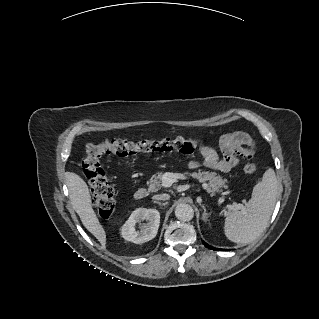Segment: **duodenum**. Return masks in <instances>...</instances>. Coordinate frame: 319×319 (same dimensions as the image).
Here are the masks:
<instances>
[{
	"mask_svg": "<svg viewBox=\"0 0 319 319\" xmlns=\"http://www.w3.org/2000/svg\"><path fill=\"white\" fill-rule=\"evenodd\" d=\"M148 195H149V192L144 187L138 188L134 193V197L136 200H143V199L147 198Z\"/></svg>",
	"mask_w": 319,
	"mask_h": 319,
	"instance_id": "410a0bca",
	"label": "duodenum"
}]
</instances>
